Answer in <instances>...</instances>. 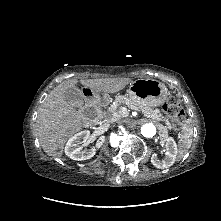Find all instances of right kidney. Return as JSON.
Segmentation results:
<instances>
[{"label": "right kidney", "instance_id": "right-kidney-1", "mask_svg": "<svg viewBox=\"0 0 221 221\" xmlns=\"http://www.w3.org/2000/svg\"><path fill=\"white\" fill-rule=\"evenodd\" d=\"M89 138L90 132L86 130L75 134L66 143L65 154L76 161H82L92 158L96 153V149L92 148L88 150H82V146H80L81 143L88 141ZM104 141L105 138L100 137L97 141L96 147L100 148L103 145Z\"/></svg>", "mask_w": 221, "mask_h": 221}]
</instances>
